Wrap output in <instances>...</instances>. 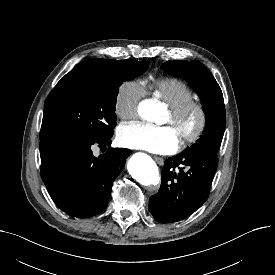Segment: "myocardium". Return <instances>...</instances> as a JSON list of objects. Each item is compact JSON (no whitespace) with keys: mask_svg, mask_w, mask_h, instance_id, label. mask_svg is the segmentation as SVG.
<instances>
[{"mask_svg":"<svg viewBox=\"0 0 275 275\" xmlns=\"http://www.w3.org/2000/svg\"><path fill=\"white\" fill-rule=\"evenodd\" d=\"M172 124H179L190 114H196L198 121L195 128L180 139V147L184 148L196 142L207 126V111L204 104L198 100H189L179 106L169 109Z\"/></svg>","mask_w":275,"mask_h":275,"instance_id":"obj_1","label":"myocardium"}]
</instances>
